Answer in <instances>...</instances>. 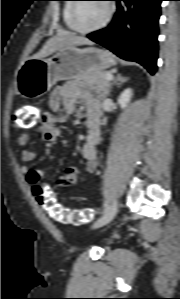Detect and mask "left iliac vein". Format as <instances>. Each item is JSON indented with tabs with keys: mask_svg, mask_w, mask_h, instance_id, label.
Masks as SVG:
<instances>
[{
	"mask_svg": "<svg viewBox=\"0 0 180 299\" xmlns=\"http://www.w3.org/2000/svg\"><path fill=\"white\" fill-rule=\"evenodd\" d=\"M118 207V201L114 200L113 203L109 206L108 210L94 223L93 227L99 228L111 222L117 214Z\"/></svg>",
	"mask_w": 180,
	"mask_h": 299,
	"instance_id": "left-iliac-vein-1",
	"label": "left iliac vein"
}]
</instances>
